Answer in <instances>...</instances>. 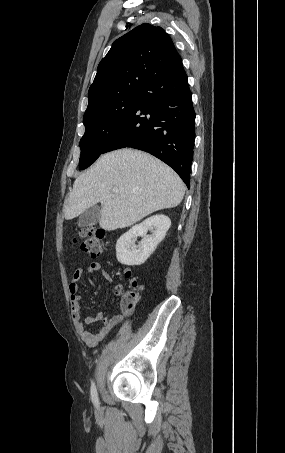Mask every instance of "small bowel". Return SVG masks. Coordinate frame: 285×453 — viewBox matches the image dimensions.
<instances>
[{
  "label": "small bowel",
  "instance_id": "c3829d8e",
  "mask_svg": "<svg viewBox=\"0 0 285 453\" xmlns=\"http://www.w3.org/2000/svg\"><path fill=\"white\" fill-rule=\"evenodd\" d=\"M96 272H101L102 278L107 282H111V276L107 272L101 271L98 263H91L88 266H81L75 270L68 287L74 325L81 340L88 347H95L96 345H98L99 342H101L108 335L110 330L122 319V317L119 315L113 316L111 318H106L100 312L91 316H87L84 320L81 319V296L78 294V281L83 277H87L89 284L93 285V282L89 278V275ZM119 290L120 288L117 289V291ZM97 322H102V326L96 332L87 329V325H91Z\"/></svg>",
  "mask_w": 285,
  "mask_h": 453
}]
</instances>
